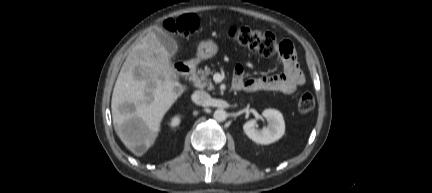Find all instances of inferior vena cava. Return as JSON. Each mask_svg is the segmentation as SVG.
Listing matches in <instances>:
<instances>
[{
  "mask_svg": "<svg viewBox=\"0 0 432 193\" xmlns=\"http://www.w3.org/2000/svg\"><path fill=\"white\" fill-rule=\"evenodd\" d=\"M192 100L194 103L202 106H208L211 100L210 95L203 91V90H197L192 95Z\"/></svg>",
  "mask_w": 432,
  "mask_h": 193,
  "instance_id": "obj_1",
  "label": "inferior vena cava"
}]
</instances>
